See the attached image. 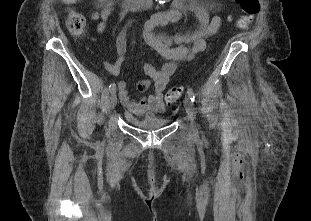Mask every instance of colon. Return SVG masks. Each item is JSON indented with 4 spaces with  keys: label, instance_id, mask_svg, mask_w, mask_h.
<instances>
[{
    "label": "colon",
    "instance_id": "1",
    "mask_svg": "<svg viewBox=\"0 0 311 221\" xmlns=\"http://www.w3.org/2000/svg\"><path fill=\"white\" fill-rule=\"evenodd\" d=\"M73 3L76 0H71ZM243 9V13L237 19L239 28L247 27L260 10V0H238ZM65 24L68 31L75 37H82L87 30V21L80 12L70 10L66 16ZM182 89L180 87H171L166 91V103H173L180 98Z\"/></svg>",
    "mask_w": 311,
    "mask_h": 221
}]
</instances>
